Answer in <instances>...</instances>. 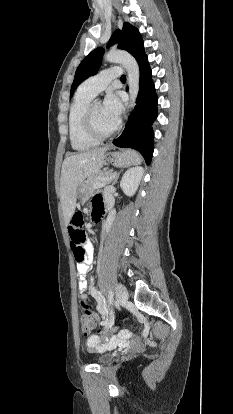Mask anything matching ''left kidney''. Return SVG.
<instances>
[{
    "label": "left kidney",
    "instance_id": "5707ae66",
    "mask_svg": "<svg viewBox=\"0 0 233 414\" xmlns=\"http://www.w3.org/2000/svg\"><path fill=\"white\" fill-rule=\"evenodd\" d=\"M143 174L144 169L140 166L132 167L124 173L120 187L127 196L131 197L136 193Z\"/></svg>",
    "mask_w": 233,
    "mask_h": 414
}]
</instances>
